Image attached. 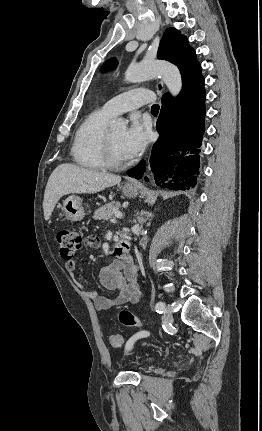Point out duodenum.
I'll return each instance as SVG.
<instances>
[{"instance_id":"obj_1","label":"duodenum","mask_w":262,"mask_h":431,"mask_svg":"<svg viewBox=\"0 0 262 431\" xmlns=\"http://www.w3.org/2000/svg\"><path fill=\"white\" fill-rule=\"evenodd\" d=\"M118 252L121 254V256L126 257L128 255V249L125 244L119 243L118 244Z\"/></svg>"}]
</instances>
